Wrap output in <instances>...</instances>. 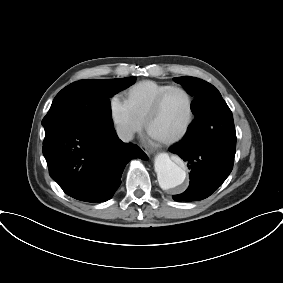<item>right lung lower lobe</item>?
Here are the masks:
<instances>
[{"label":"right lung lower lobe","mask_w":283,"mask_h":283,"mask_svg":"<svg viewBox=\"0 0 283 283\" xmlns=\"http://www.w3.org/2000/svg\"><path fill=\"white\" fill-rule=\"evenodd\" d=\"M43 155L51 178L80 201L104 202L121 184L126 164L146 154L123 143L114 126L62 124L45 131Z\"/></svg>","instance_id":"obj_1"}]
</instances>
